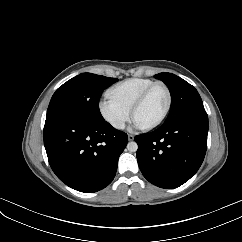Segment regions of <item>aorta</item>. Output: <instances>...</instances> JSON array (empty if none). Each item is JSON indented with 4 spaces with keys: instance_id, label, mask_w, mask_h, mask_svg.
Instances as JSON below:
<instances>
[{
    "instance_id": "aorta-1",
    "label": "aorta",
    "mask_w": 242,
    "mask_h": 242,
    "mask_svg": "<svg viewBox=\"0 0 242 242\" xmlns=\"http://www.w3.org/2000/svg\"><path fill=\"white\" fill-rule=\"evenodd\" d=\"M127 149L129 152H136L138 149V145L136 142L132 141L127 144Z\"/></svg>"
}]
</instances>
